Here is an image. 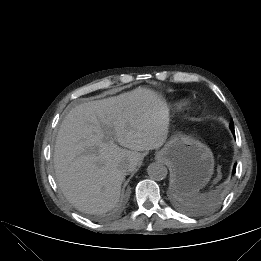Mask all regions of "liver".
<instances>
[{
    "label": "liver",
    "instance_id": "1",
    "mask_svg": "<svg viewBox=\"0 0 261 261\" xmlns=\"http://www.w3.org/2000/svg\"><path fill=\"white\" fill-rule=\"evenodd\" d=\"M167 136L166 102L151 89L138 87L79 104L66 115L56 138L58 185L78 210L105 213L118 203L140 151L160 148Z\"/></svg>",
    "mask_w": 261,
    "mask_h": 261
}]
</instances>
